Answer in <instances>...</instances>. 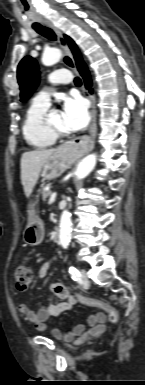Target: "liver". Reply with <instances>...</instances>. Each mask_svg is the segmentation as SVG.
<instances>
[{
	"label": "liver",
	"instance_id": "liver-1",
	"mask_svg": "<svg viewBox=\"0 0 145 385\" xmlns=\"http://www.w3.org/2000/svg\"><path fill=\"white\" fill-rule=\"evenodd\" d=\"M57 149H37L24 152L21 157V182L27 197L37 183L41 169Z\"/></svg>",
	"mask_w": 145,
	"mask_h": 385
}]
</instances>
